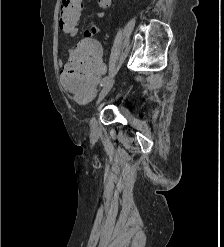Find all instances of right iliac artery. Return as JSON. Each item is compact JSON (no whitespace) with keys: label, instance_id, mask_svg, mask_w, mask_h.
<instances>
[{"label":"right iliac artery","instance_id":"right-iliac-artery-1","mask_svg":"<svg viewBox=\"0 0 224 247\" xmlns=\"http://www.w3.org/2000/svg\"><path fill=\"white\" fill-rule=\"evenodd\" d=\"M108 81H109V77L108 76L103 78V80L101 81V86H104Z\"/></svg>","mask_w":224,"mask_h":247}]
</instances>
